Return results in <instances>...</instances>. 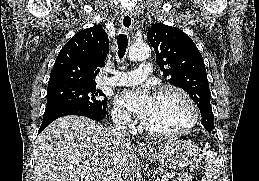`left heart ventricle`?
I'll return each instance as SVG.
<instances>
[{"mask_svg": "<svg viewBox=\"0 0 259 181\" xmlns=\"http://www.w3.org/2000/svg\"><path fill=\"white\" fill-rule=\"evenodd\" d=\"M188 119L185 103L173 93L154 97L153 108L144 122L151 128L170 130L184 125Z\"/></svg>", "mask_w": 259, "mask_h": 181, "instance_id": "b2bd125f", "label": "left heart ventricle"}]
</instances>
